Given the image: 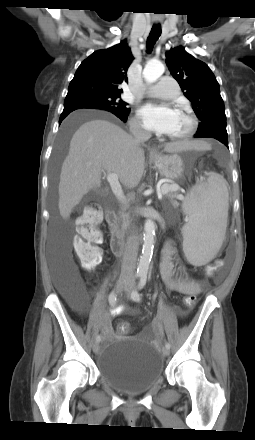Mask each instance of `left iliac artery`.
I'll return each instance as SVG.
<instances>
[{
	"label": "left iliac artery",
	"instance_id": "obj_1",
	"mask_svg": "<svg viewBox=\"0 0 255 440\" xmlns=\"http://www.w3.org/2000/svg\"><path fill=\"white\" fill-rule=\"evenodd\" d=\"M147 277L146 275H142L140 281L137 285V288L132 292L131 297L134 301L139 302L141 300L139 291L145 286ZM165 346L170 349L171 345L169 342L165 343Z\"/></svg>",
	"mask_w": 255,
	"mask_h": 440
}]
</instances>
